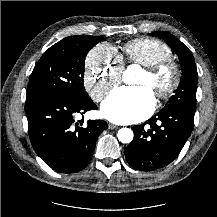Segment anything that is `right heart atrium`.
<instances>
[{
	"label": "right heart atrium",
	"instance_id": "d8ad5b80",
	"mask_svg": "<svg viewBox=\"0 0 217 217\" xmlns=\"http://www.w3.org/2000/svg\"><path fill=\"white\" fill-rule=\"evenodd\" d=\"M123 63L116 50L108 44H98L85 61L84 87L95 102H101L122 77Z\"/></svg>",
	"mask_w": 217,
	"mask_h": 217
}]
</instances>
